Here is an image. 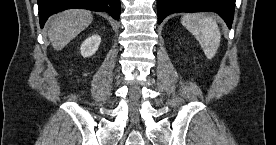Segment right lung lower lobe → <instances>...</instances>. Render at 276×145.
Wrapping results in <instances>:
<instances>
[{"instance_id": "98d812e1", "label": "right lung lower lobe", "mask_w": 276, "mask_h": 145, "mask_svg": "<svg viewBox=\"0 0 276 145\" xmlns=\"http://www.w3.org/2000/svg\"><path fill=\"white\" fill-rule=\"evenodd\" d=\"M40 26L54 13L70 8L105 11L115 20L120 18V0H38Z\"/></svg>"}]
</instances>
